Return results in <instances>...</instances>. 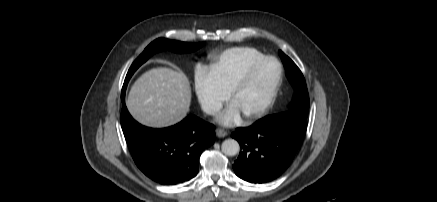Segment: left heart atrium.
I'll use <instances>...</instances> for the list:
<instances>
[{
	"label": "left heart atrium",
	"mask_w": 437,
	"mask_h": 202,
	"mask_svg": "<svg viewBox=\"0 0 437 202\" xmlns=\"http://www.w3.org/2000/svg\"><path fill=\"white\" fill-rule=\"evenodd\" d=\"M242 111L236 102H232L218 117V121L226 126L238 123L242 118Z\"/></svg>",
	"instance_id": "1"
}]
</instances>
